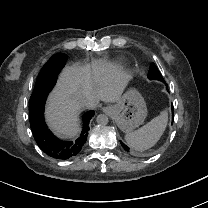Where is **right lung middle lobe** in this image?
Instances as JSON below:
<instances>
[{
	"mask_svg": "<svg viewBox=\"0 0 208 208\" xmlns=\"http://www.w3.org/2000/svg\"><path fill=\"white\" fill-rule=\"evenodd\" d=\"M52 57H53V58L63 57V58H65V59H66V55H65V54H63V53H58V54H55V55H53ZM52 57H51V58H52Z\"/></svg>",
	"mask_w": 208,
	"mask_h": 208,
	"instance_id": "obj_1",
	"label": "right lung middle lobe"
}]
</instances>
